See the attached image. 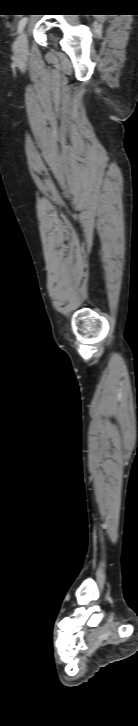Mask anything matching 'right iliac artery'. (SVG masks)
Listing matches in <instances>:
<instances>
[{
  "mask_svg": "<svg viewBox=\"0 0 138 726\" xmlns=\"http://www.w3.org/2000/svg\"><path fill=\"white\" fill-rule=\"evenodd\" d=\"M27 20H28V18H27V17H24V18H22V19L20 20V22H19V26H18V31H19V33H20V32H21V31H22L23 29H24V27H25V25H26V23H27Z\"/></svg>",
  "mask_w": 138,
  "mask_h": 726,
  "instance_id": "obj_1",
  "label": "right iliac artery"
}]
</instances>
